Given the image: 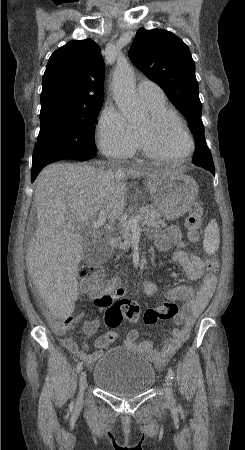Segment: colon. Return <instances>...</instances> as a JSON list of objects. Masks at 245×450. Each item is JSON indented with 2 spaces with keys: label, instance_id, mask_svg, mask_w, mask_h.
I'll use <instances>...</instances> for the list:
<instances>
[{
  "label": "colon",
  "instance_id": "obj_1",
  "mask_svg": "<svg viewBox=\"0 0 245 450\" xmlns=\"http://www.w3.org/2000/svg\"><path fill=\"white\" fill-rule=\"evenodd\" d=\"M204 216V208L200 202H194L190 208V212L185 220V228L188 239L192 243L199 241V231ZM206 268L210 273H216L219 269V263L216 258L210 257L206 259ZM103 269L97 264L85 266L80 274V279L85 288H93L100 286L102 283ZM98 305L105 306V324L108 328L118 327L123 320L130 323L139 321V310L130 300L112 301L106 298L98 302ZM180 307L172 302H162L148 309L143 315V323L145 325H154L158 321L174 320L180 315ZM46 321L58 331H65L72 322L67 317H62L52 312L45 313ZM107 338L110 341L117 339L118 335L114 331L107 332Z\"/></svg>",
  "mask_w": 245,
  "mask_h": 450
}]
</instances>
